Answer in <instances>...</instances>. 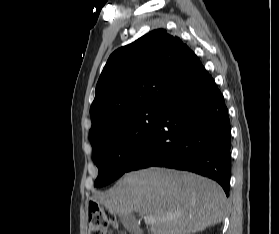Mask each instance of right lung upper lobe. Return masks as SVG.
<instances>
[{
  "instance_id": "right-lung-upper-lobe-1",
  "label": "right lung upper lobe",
  "mask_w": 279,
  "mask_h": 234,
  "mask_svg": "<svg viewBox=\"0 0 279 234\" xmlns=\"http://www.w3.org/2000/svg\"><path fill=\"white\" fill-rule=\"evenodd\" d=\"M180 38L156 29L113 52L96 86L91 105L90 142L127 114L162 108L202 68Z\"/></svg>"
}]
</instances>
